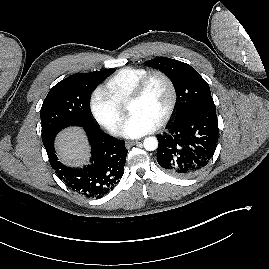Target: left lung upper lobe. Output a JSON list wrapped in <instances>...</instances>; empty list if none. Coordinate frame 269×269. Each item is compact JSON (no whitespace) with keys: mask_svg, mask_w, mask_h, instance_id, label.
<instances>
[{"mask_svg":"<svg viewBox=\"0 0 269 269\" xmlns=\"http://www.w3.org/2000/svg\"><path fill=\"white\" fill-rule=\"evenodd\" d=\"M144 64L159 69L171 79L178 97V108L174 122L184 119L193 112L216 111L208 84L187 63L158 57L146 61Z\"/></svg>","mask_w":269,"mask_h":269,"instance_id":"left-lung-upper-lobe-1","label":"left lung upper lobe"}]
</instances>
